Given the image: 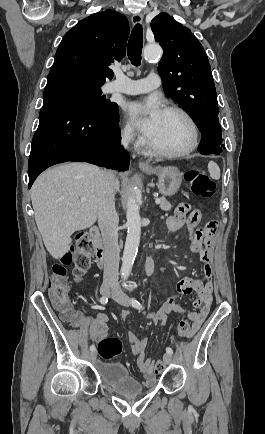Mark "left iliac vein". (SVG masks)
Masks as SVG:
<instances>
[{"label":"left iliac vein","instance_id":"1","mask_svg":"<svg viewBox=\"0 0 265 434\" xmlns=\"http://www.w3.org/2000/svg\"><path fill=\"white\" fill-rule=\"evenodd\" d=\"M112 298L116 300L119 304L128 307L130 305L129 297L120 290H114L112 292ZM164 366L169 365L173 361V357L169 353H165L163 356Z\"/></svg>","mask_w":265,"mask_h":434}]
</instances>
